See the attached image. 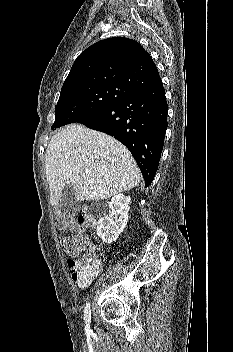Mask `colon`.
Returning a JSON list of instances; mask_svg holds the SVG:
<instances>
[{
    "label": "colon",
    "instance_id": "obj_1",
    "mask_svg": "<svg viewBox=\"0 0 233 352\" xmlns=\"http://www.w3.org/2000/svg\"><path fill=\"white\" fill-rule=\"evenodd\" d=\"M95 224V218L88 211H84L77 222L64 214H59L57 217L59 228L70 229L73 232V235L62 240L65 252L74 257L84 253L81 258L72 260L71 269L74 279L87 281L97 276L102 269L101 262L94 257L93 248L84 234V227L93 228Z\"/></svg>",
    "mask_w": 233,
    "mask_h": 352
}]
</instances>
